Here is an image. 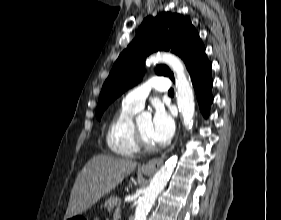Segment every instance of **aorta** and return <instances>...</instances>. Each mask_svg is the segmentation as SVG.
<instances>
[{
    "instance_id": "aorta-1",
    "label": "aorta",
    "mask_w": 281,
    "mask_h": 220,
    "mask_svg": "<svg viewBox=\"0 0 281 220\" xmlns=\"http://www.w3.org/2000/svg\"><path fill=\"white\" fill-rule=\"evenodd\" d=\"M163 62L166 63L174 72L176 78V98L179 112L183 117V124L187 129H192L195 111L194 94L192 85L185 74L183 62L173 54L162 53L149 57L147 64ZM177 156L170 157L165 164L154 175L150 185L146 189L141 201L139 202L134 220H146V217L154 204L159 193L164 189L174 168L176 167Z\"/></svg>"
}]
</instances>
